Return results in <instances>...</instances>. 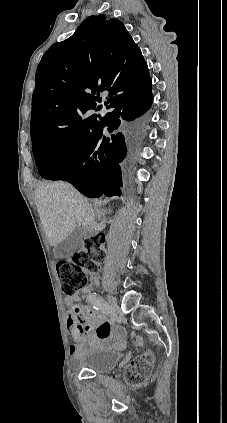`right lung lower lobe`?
I'll list each match as a JSON object with an SVG mask.
<instances>
[{
	"mask_svg": "<svg viewBox=\"0 0 227 423\" xmlns=\"http://www.w3.org/2000/svg\"><path fill=\"white\" fill-rule=\"evenodd\" d=\"M153 101L151 91L145 95L128 96L112 104L108 109L105 121L100 130L94 134L92 148L81 158L76 170L63 179L68 181L87 197H100L102 195H121V166L135 152V142L139 131L129 121L135 120L144 114ZM108 126L109 132L127 127L129 134L125 137L119 132L110 138L102 135V127Z\"/></svg>",
	"mask_w": 227,
	"mask_h": 423,
	"instance_id": "1",
	"label": "right lung lower lobe"
}]
</instances>
